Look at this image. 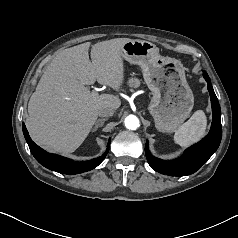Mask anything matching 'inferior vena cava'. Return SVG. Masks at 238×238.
Masks as SVG:
<instances>
[{"instance_id":"602c4592","label":"inferior vena cava","mask_w":238,"mask_h":238,"mask_svg":"<svg viewBox=\"0 0 238 238\" xmlns=\"http://www.w3.org/2000/svg\"><path fill=\"white\" fill-rule=\"evenodd\" d=\"M114 109L109 106H101L98 108L97 114L101 117H109L114 114Z\"/></svg>"}]
</instances>
